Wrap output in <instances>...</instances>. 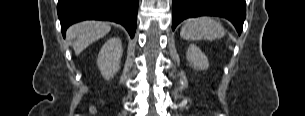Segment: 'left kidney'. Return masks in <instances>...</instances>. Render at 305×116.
<instances>
[{"label": "left kidney", "instance_id": "1", "mask_svg": "<svg viewBox=\"0 0 305 116\" xmlns=\"http://www.w3.org/2000/svg\"><path fill=\"white\" fill-rule=\"evenodd\" d=\"M186 58L190 65L197 70H206L209 66L207 57L202 51L194 44L189 45Z\"/></svg>", "mask_w": 305, "mask_h": 116}]
</instances>
